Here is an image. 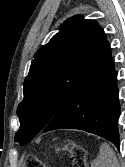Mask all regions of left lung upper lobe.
<instances>
[{"label":"left lung upper lobe","mask_w":125,"mask_h":167,"mask_svg":"<svg viewBox=\"0 0 125 167\" xmlns=\"http://www.w3.org/2000/svg\"><path fill=\"white\" fill-rule=\"evenodd\" d=\"M105 41L106 34L95 20L76 15L36 52L17 109L16 142L28 143L47 126L89 75Z\"/></svg>","instance_id":"5c2ea615"}]
</instances>
